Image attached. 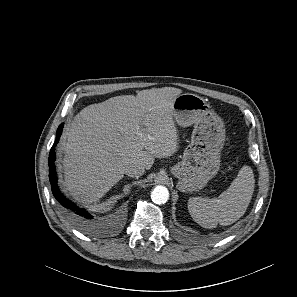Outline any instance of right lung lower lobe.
<instances>
[{
    "instance_id": "right-lung-lower-lobe-1",
    "label": "right lung lower lobe",
    "mask_w": 297,
    "mask_h": 297,
    "mask_svg": "<svg viewBox=\"0 0 297 297\" xmlns=\"http://www.w3.org/2000/svg\"><path fill=\"white\" fill-rule=\"evenodd\" d=\"M63 127L64 124L59 125L57 129L56 140L49 153V179L51 183V189L56 200L60 203V205L68 213L72 220L78 226L83 228V230L89 231L93 226V216L90 213H88V211H86L85 209L78 207L76 204L66 199L65 196L60 192L57 185V177L55 170V147L59 142V138L61 136Z\"/></svg>"
}]
</instances>
